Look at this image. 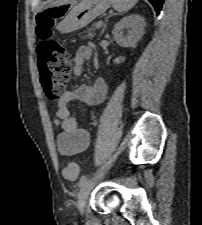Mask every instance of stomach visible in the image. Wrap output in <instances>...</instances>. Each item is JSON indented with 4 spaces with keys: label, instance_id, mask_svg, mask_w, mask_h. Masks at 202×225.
Returning <instances> with one entry per match:
<instances>
[{
    "label": "stomach",
    "instance_id": "1",
    "mask_svg": "<svg viewBox=\"0 0 202 225\" xmlns=\"http://www.w3.org/2000/svg\"><path fill=\"white\" fill-rule=\"evenodd\" d=\"M112 4V0H82L75 5L63 4L54 8L63 7L66 12L62 20L56 25L60 33H71L87 26L95 18L105 13Z\"/></svg>",
    "mask_w": 202,
    "mask_h": 225
}]
</instances>
